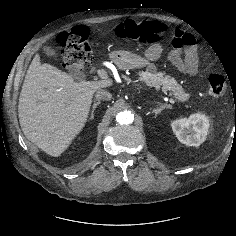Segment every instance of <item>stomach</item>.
Instances as JSON below:
<instances>
[{
  "label": "stomach",
  "mask_w": 236,
  "mask_h": 236,
  "mask_svg": "<svg viewBox=\"0 0 236 236\" xmlns=\"http://www.w3.org/2000/svg\"><path fill=\"white\" fill-rule=\"evenodd\" d=\"M109 57L120 69H139L149 64L145 57L124 50L113 51Z\"/></svg>",
  "instance_id": "obj_1"
}]
</instances>
